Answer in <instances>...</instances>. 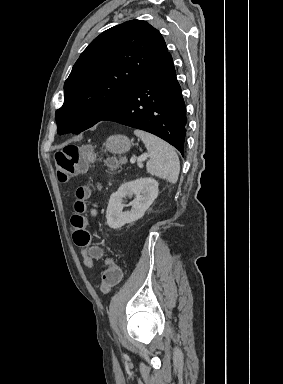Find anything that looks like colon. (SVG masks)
Instances as JSON below:
<instances>
[{"mask_svg":"<svg viewBox=\"0 0 283 384\" xmlns=\"http://www.w3.org/2000/svg\"><path fill=\"white\" fill-rule=\"evenodd\" d=\"M90 156L88 147L67 145L58 150L55 153V167L59 181L65 183L73 176L82 173L88 165ZM109 164L111 167H117L119 161L111 159ZM89 196L90 190L88 187L81 186L76 191L74 214L71 217V224L74 228L73 241L78 247H89L91 255L95 258H100L103 256V250L98 246L90 247L91 234L86 228V201ZM105 262L106 269L101 278L100 290L106 294L121 281L122 272L113 258L107 257Z\"/></svg>","mask_w":283,"mask_h":384,"instance_id":"5ec220e1","label":"colon"}]
</instances>
